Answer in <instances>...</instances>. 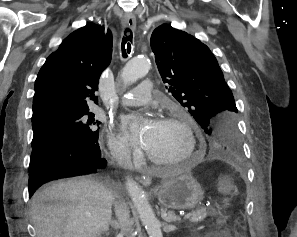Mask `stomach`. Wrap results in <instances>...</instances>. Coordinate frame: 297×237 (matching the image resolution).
I'll return each mask as SVG.
<instances>
[{
  "label": "stomach",
  "mask_w": 297,
  "mask_h": 237,
  "mask_svg": "<svg viewBox=\"0 0 297 237\" xmlns=\"http://www.w3.org/2000/svg\"><path fill=\"white\" fill-rule=\"evenodd\" d=\"M155 193L161 205L181 210L196 208L204 195L200 183L189 173L164 182Z\"/></svg>",
  "instance_id": "stomach-1"
}]
</instances>
